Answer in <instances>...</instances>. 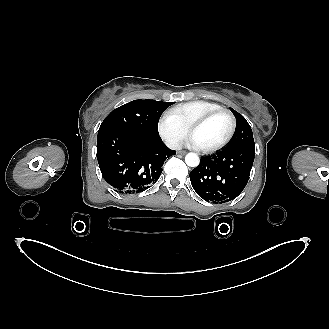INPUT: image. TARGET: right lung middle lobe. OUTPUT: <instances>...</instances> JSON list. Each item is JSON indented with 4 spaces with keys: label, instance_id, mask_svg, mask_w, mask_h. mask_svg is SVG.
<instances>
[{
    "label": "right lung middle lobe",
    "instance_id": "1",
    "mask_svg": "<svg viewBox=\"0 0 329 329\" xmlns=\"http://www.w3.org/2000/svg\"><path fill=\"white\" fill-rule=\"evenodd\" d=\"M175 102L134 100L113 110L102 122L99 130L119 128L147 132L156 136L161 113Z\"/></svg>",
    "mask_w": 329,
    "mask_h": 329
}]
</instances>
